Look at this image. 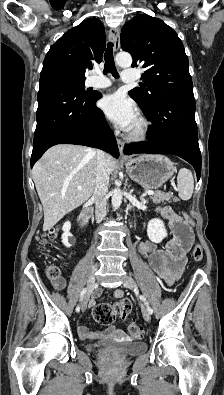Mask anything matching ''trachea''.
I'll list each match as a JSON object with an SVG mask.
<instances>
[{"label": "trachea", "mask_w": 224, "mask_h": 395, "mask_svg": "<svg viewBox=\"0 0 224 395\" xmlns=\"http://www.w3.org/2000/svg\"><path fill=\"white\" fill-rule=\"evenodd\" d=\"M105 59V67L103 70L104 74L111 73L115 78H118V72L115 67L114 58H113V43L109 42L106 52L104 54Z\"/></svg>", "instance_id": "3493384b"}]
</instances>
